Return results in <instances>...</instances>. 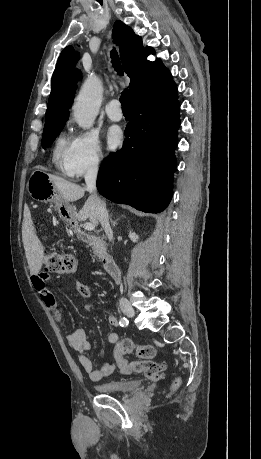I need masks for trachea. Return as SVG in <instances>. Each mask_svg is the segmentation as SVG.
Listing matches in <instances>:
<instances>
[{
  "label": "trachea",
  "instance_id": "3493384b",
  "mask_svg": "<svg viewBox=\"0 0 261 459\" xmlns=\"http://www.w3.org/2000/svg\"><path fill=\"white\" fill-rule=\"evenodd\" d=\"M111 58H112V64L115 70L119 75H123V69L121 67V62L119 59V56L117 54V51L115 48L111 51ZM120 102L122 105V110H127L130 111V104H129V92L128 90H125L122 92L121 97H120Z\"/></svg>",
  "mask_w": 261,
  "mask_h": 459
}]
</instances>
